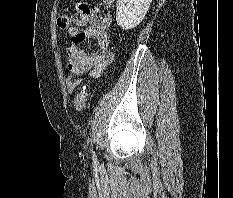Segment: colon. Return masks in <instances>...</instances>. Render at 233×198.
<instances>
[{"label":"colon","mask_w":233,"mask_h":198,"mask_svg":"<svg viewBox=\"0 0 233 198\" xmlns=\"http://www.w3.org/2000/svg\"><path fill=\"white\" fill-rule=\"evenodd\" d=\"M57 25L61 29H67L69 26V18L66 15L59 16L57 19ZM74 106L76 110L82 111L87 106V92L83 88L79 91L74 99Z\"/></svg>","instance_id":"1"}]
</instances>
